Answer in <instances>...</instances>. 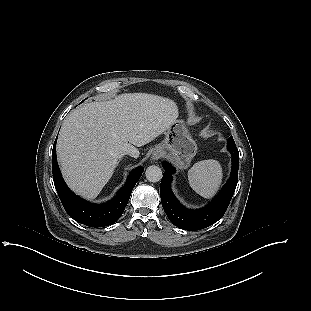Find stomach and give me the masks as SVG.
Instances as JSON below:
<instances>
[{
    "label": "stomach",
    "mask_w": 311,
    "mask_h": 311,
    "mask_svg": "<svg viewBox=\"0 0 311 311\" xmlns=\"http://www.w3.org/2000/svg\"><path fill=\"white\" fill-rule=\"evenodd\" d=\"M163 155H167L180 169L190 165L197 146L191 138L183 121H176L167 132L164 141L156 146Z\"/></svg>",
    "instance_id": "obj_1"
}]
</instances>
